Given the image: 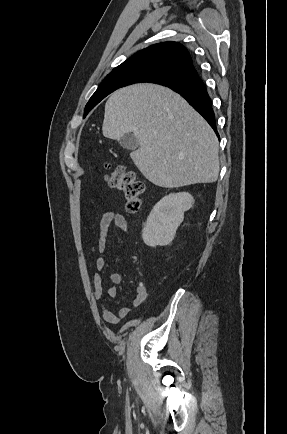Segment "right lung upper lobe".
Wrapping results in <instances>:
<instances>
[{"label":"right lung upper lobe","instance_id":"cb5924a9","mask_svg":"<svg viewBox=\"0 0 287 434\" xmlns=\"http://www.w3.org/2000/svg\"><path fill=\"white\" fill-rule=\"evenodd\" d=\"M145 68L165 70L179 75L180 79L195 69L191 56L183 45L177 42H163L140 50L114 68L110 74ZM177 81H164L159 84L167 86Z\"/></svg>","mask_w":287,"mask_h":434}]
</instances>
